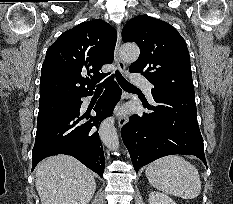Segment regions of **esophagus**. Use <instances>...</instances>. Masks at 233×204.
Returning <instances> with one entry per match:
<instances>
[{
    "mask_svg": "<svg viewBox=\"0 0 233 204\" xmlns=\"http://www.w3.org/2000/svg\"><path fill=\"white\" fill-rule=\"evenodd\" d=\"M120 44H121V29L117 28V41L114 51L115 61L117 63L118 69L122 73H126V64L123 62V60L120 57ZM128 115L125 113H119L118 114V125L119 127H123L128 122Z\"/></svg>",
    "mask_w": 233,
    "mask_h": 204,
    "instance_id": "esophagus-1",
    "label": "esophagus"
}]
</instances>
